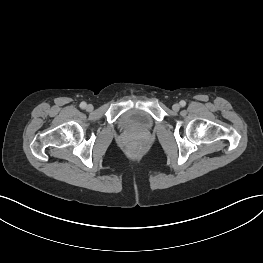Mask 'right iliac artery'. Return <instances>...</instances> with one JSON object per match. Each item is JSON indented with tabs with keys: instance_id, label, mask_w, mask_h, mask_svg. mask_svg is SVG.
Instances as JSON below:
<instances>
[{
	"instance_id": "obj_1",
	"label": "right iliac artery",
	"mask_w": 263,
	"mask_h": 263,
	"mask_svg": "<svg viewBox=\"0 0 263 263\" xmlns=\"http://www.w3.org/2000/svg\"><path fill=\"white\" fill-rule=\"evenodd\" d=\"M80 107H81L82 109L86 108V103H85V102H81V103H80Z\"/></svg>"
}]
</instances>
